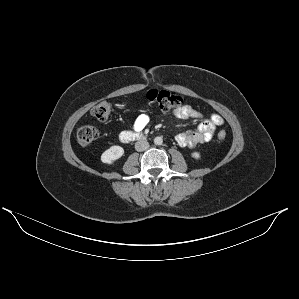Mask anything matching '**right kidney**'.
<instances>
[{"instance_id":"ca27d5eb","label":"right kidney","mask_w":299,"mask_h":299,"mask_svg":"<svg viewBox=\"0 0 299 299\" xmlns=\"http://www.w3.org/2000/svg\"><path fill=\"white\" fill-rule=\"evenodd\" d=\"M123 154L124 149L121 146L114 145L102 153L101 161L106 164H112L121 158Z\"/></svg>"}]
</instances>
